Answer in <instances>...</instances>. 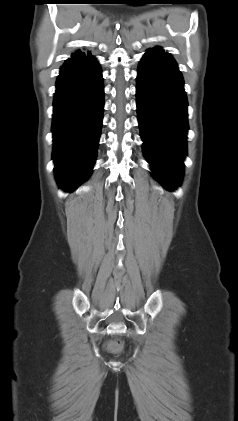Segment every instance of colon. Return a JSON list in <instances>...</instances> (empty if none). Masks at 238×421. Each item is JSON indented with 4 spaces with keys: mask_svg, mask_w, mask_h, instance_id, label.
<instances>
[{
    "mask_svg": "<svg viewBox=\"0 0 238 421\" xmlns=\"http://www.w3.org/2000/svg\"><path fill=\"white\" fill-rule=\"evenodd\" d=\"M108 349L111 352H119L122 349V345H121V343L119 341H111L108 344Z\"/></svg>",
    "mask_w": 238,
    "mask_h": 421,
    "instance_id": "obj_1",
    "label": "colon"
}]
</instances>
